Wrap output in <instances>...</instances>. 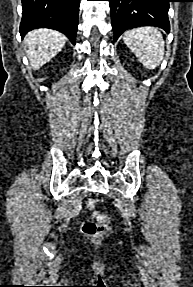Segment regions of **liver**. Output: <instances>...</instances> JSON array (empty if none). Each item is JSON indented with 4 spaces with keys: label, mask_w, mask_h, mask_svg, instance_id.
Instances as JSON below:
<instances>
[{
    "label": "liver",
    "mask_w": 193,
    "mask_h": 287,
    "mask_svg": "<svg viewBox=\"0 0 193 287\" xmlns=\"http://www.w3.org/2000/svg\"><path fill=\"white\" fill-rule=\"evenodd\" d=\"M66 40L65 35L52 29L29 32L24 39V46L31 67L40 69L61 51Z\"/></svg>",
    "instance_id": "6515ba94"
}]
</instances>
